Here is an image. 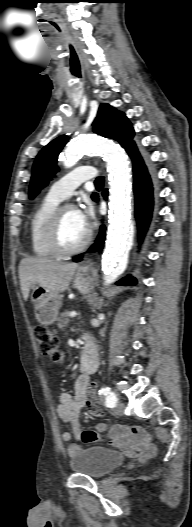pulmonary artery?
I'll use <instances>...</instances> for the list:
<instances>
[{
  "instance_id": "obj_1",
  "label": "pulmonary artery",
  "mask_w": 192,
  "mask_h": 527,
  "mask_svg": "<svg viewBox=\"0 0 192 527\" xmlns=\"http://www.w3.org/2000/svg\"><path fill=\"white\" fill-rule=\"evenodd\" d=\"M97 176V171L92 166H80L52 184L48 195L63 200L70 196L83 182Z\"/></svg>"
}]
</instances>
